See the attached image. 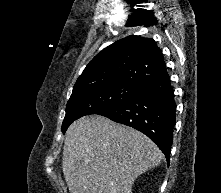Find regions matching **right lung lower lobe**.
Returning <instances> with one entry per match:
<instances>
[{
	"instance_id": "obj_1",
	"label": "right lung lower lobe",
	"mask_w": 221,
	"mask_h": 193,
	"mask_svg": "<svg viewBox=\"0 0 221 193\" xmlns=\"http://www.w3.org/2000/svg\"><path fill=\"white\" fill-rule=\"evenodd\" d=\"M176 103L169 75L142 84L128 101L99 113L147 135L170 162Z\"/></svg>"
}]
</instances>
